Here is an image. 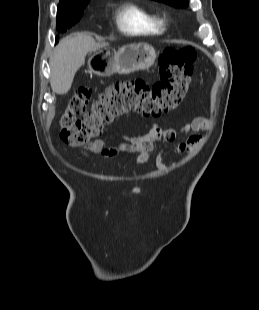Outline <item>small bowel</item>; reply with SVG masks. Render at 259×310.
<instances>
[{"label":"small bowel","mask_w":259,"mask_h":310,"mask_svg":"<svg viewBox=\"0 0 259 310\" xmlns=\"http://www.w3.org/2000/svg\"><path fill=\"white\" fill-rule=\"evenodd\" d=\"M211 128V121L204 117H196L178 128H162L154 124L145 133L134 136L131 134H121L123 142L107 145V138L98 139L85 148H83L78 157L89 162L92 154H99L102 158L108 159L119 153L127 151L136 153L135 163L142 165L154 158L156 165L160 168H166L168 165L164 162V155L170 151L177 153L189 152L201 144L202 137L198 132L207 131ZM193 132L186 141L181 142L173 149L168 145L175 142L178 137L185 133ZM160 142L163 147L155 153V143Z\"/></svg>","instance_id":"small-bowel-1"}]
</instances>
